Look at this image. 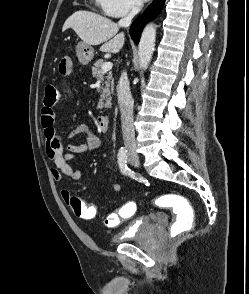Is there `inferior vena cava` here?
Wrapping results in <instances>:
<instances>
[{"label": "inferior vena cava", "instance_id": "obj_1", "mask_svg": "<svg viewBox=\"0 0 249 294\" xmlns=\"http://www.w3.org/2000/svg\"><path fill=\"white\" fill-rule=\"evenodd\" d=\"M142 3L134 0L130 13L119 21V26L129 27L133 17L140 11ZM118 103L121 112V125L124 145L127 148L135 147V135L133 127V107L134 101L131 95L127 73L123 72L117 85Z\"/></svg>", "mask_w": 249, "mask_h": 294}]
</instances>
